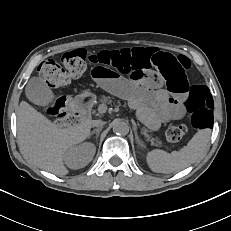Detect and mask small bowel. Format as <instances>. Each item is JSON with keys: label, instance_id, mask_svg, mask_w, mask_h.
Instances as JSON below:
<instances>
[{"label": "small bowel", "instance_id": "small-bowel-1", "mask_svg": "<svg viewBox=\"0 0 231 231\" xmlns=\"http://www.w3.org/2000/svg\"><path fill=\"white\" fill-rule=\"evenodd\" d=\"M91 73L100 88L128 100L141 118L152 127L184 116L181 101L161 88L159 75L155 72H149L148 78L128 79L115 70L95 66Z\"/></svg>", "mask_w": 231, "mask_h": 231}]
</instances>
